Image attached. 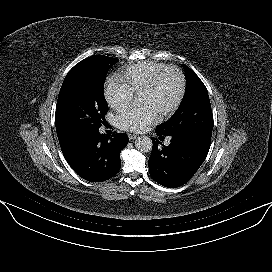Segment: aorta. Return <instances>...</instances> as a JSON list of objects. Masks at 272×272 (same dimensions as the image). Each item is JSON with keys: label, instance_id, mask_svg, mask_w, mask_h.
Segmentation results:
<instances>
[{"label": "aorta", "instance_id": "obj_1", "mask_svg": "<svg viewBox=\"0 0 272 272\" xmlns=\"http://www.w3.org/2000/svg\"><path fill=\"white\" fill-rule=\"evenodd\" d=\"M152 140L147 136H140L135 141V147L142 153H148L152 150Z\"/></svg>", "mask_w": 272, "mask_h": 272}]
</instances>
